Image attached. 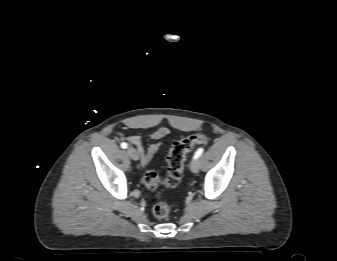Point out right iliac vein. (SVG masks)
<instances>
[{
  "instance_id": "1",
  "label": "right iliac vein",
  "mask_w": 337,
  "mask_h": 261,
  "mask_svg": "<svg viewBox=\"0 0 337 261\" xmlns=\"http://www.w3.org/2000/svg\"><path fill=\"white\" fill-rule=\"evenodd\" d=\"M127 153H128V155L130 156L131 159H133L135 161H137L139 159L138 152L134 148L128 147Z\"/></svg>"
}]
</instances>
